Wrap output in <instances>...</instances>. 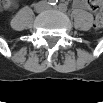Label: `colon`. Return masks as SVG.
Masks as SVG:
<instances>
[{"label":"colon","instance_id":"1","mask_svg":"<svg viewBox=\"0 0 103 103\" xmlns=\"http://www.w3.org/2000/svg\"><path fill=\"white\" fill-rule=\"evenodd\" d=\"M89 8L96 13L94 26L96 28H101L103 25V14H102V6L100 2L97 0L89 2Z\"/></svg>","mask_w":103,"mask_h":103}]
</instances>
